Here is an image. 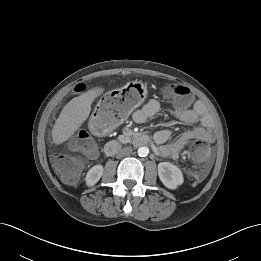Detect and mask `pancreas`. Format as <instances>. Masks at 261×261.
I'll use <instances>...</instances> for the list:
<instances>
[{
	"label": "pancreas",
	"mask_w": 261,
	"mask_h": 261,
	"mask_svg": "<svg viewBox=\"0 0 261 261\" xmlns=\"http://www.w3.org/2000/svg\"><path fill=\"white\" fill-rule=\"evenodd\" d=\"M118 140L123 142V143L129 142L130 141V135H127V134L120 135L118 137Z\"/></svg>",
	"instance_id": "obj_1"
}]
</instances>
